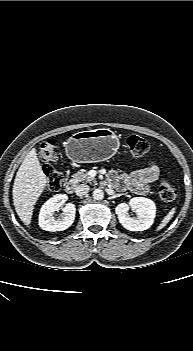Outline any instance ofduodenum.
I'll return each instance as SVG.
<instances>
[{
    "mask_svg": "<svg viewBox=\"0 0 193 351\" xmlns=\"http://www.w3.org/2000/svg\"><path fill=\"white\" fill-rule=\"evenodd\" d=\"M65 189L68 193H72L74 190V185L72 182H68L65 186Z\"/></svg>",
    "mask_w": 193,
    "mask_h": 351,
    "instance_id": "1",
    "label": "duodenum"
}]
</instances>
